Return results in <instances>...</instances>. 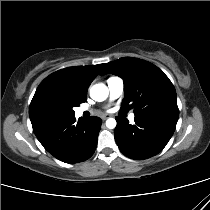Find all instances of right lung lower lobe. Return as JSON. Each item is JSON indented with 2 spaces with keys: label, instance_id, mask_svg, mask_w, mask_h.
<instances>
[{
  "label": "right lung lower lobe",
  "instance_id": "obj_1",
  "mask_svg": "<svg viewBox=\"0 0 210 210\" xmlns=\"http://www.w3.org/2000/svg\"><path fill=\"white\" fill-rule=\"evenodd\" d=\"M101 123L95 116L77 121L72 115L34 133L54 157L65 163H78L93 155Z\"/></svg>",
  "mask_w": 210,
  "mask_h": 210
}]
</instances>
